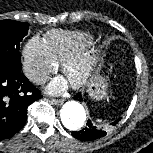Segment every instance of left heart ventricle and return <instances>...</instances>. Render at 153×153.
<instances>
[{"mask_svg":"<svg viewBox=\"0 0 153 153\" xmlns=\"http://www.w3.org/2000/svg\"><path fill=\"white\" fill-rule=\"evenodd\" d=\"M76 75H77V72H74V73L72 74V78L75 77Z\"/></svg>","mask_w":153,"mask_h":153,"instance_id":"b2bd125f","label":"left heart ventricle"}]
</instances>
